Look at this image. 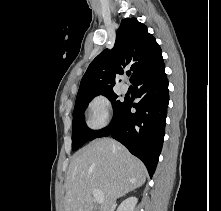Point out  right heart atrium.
<instances>
[{"label": "right heart atrium", "mask_w": 221, "mask_h": 211, "mask_svg": "<svg viewBox=\"0 0 221 211\" xmlns=\"http://www.w3.org/2000/svg\"><path fill=\"white\" fill-rule=\"evenodd\" d=\"M111 104L104 95L94 96L87 105L88 126L93 130H99L106 126L110 120Z\"/></svg>", "instance_id": "d8ad5b80"}]
</instances>
